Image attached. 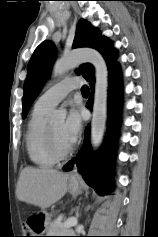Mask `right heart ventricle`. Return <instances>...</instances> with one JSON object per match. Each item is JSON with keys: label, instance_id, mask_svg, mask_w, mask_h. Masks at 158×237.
I'll return each instance as SVG.
<instances>
[{"label": "right heart ventricle", "instance_id": "right-heart-ventricle-1", "mask_svg": "<svg viewBox=\"0 0 158 237\" xmlns=\"http://www.w3.org/2000/svg\"><path fill=\"white\" fill-rule=\"evenodd\" d=\"M50 110L35 104L25 134L28 156L35 165L42 168L51 167L56 162L49 155L44 140L46 119Z\"/></svg>", "mask_w": 158, "mask_h": 237}]
</instances>
